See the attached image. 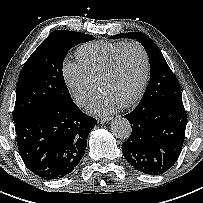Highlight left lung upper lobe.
Listing matches in <instances>:
<instances>
[{"label":"left lung upper lobe","mask_w":203,"mask_h":203,"mask_svg":"<svg viewBox=\"0 0 203 203\" xmlns=\"http://www.w3.org/2000/svg\"><path fill=\"white\" fill-rule=\"evenodd\" d=\"M111 38L137 39L148 54L151 68L150 81L143 98L137 105L138 108L183 104L179 82L152 39L141 32L117 34Z\"/></svg>","instance_id":"5c2ea615"}]
</instances>
